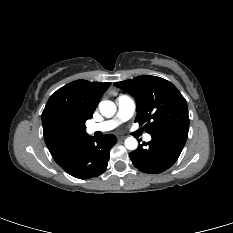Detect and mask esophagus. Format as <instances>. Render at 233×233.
I'll return each instance as SVG.
<instances>
[{
	"label": "esophagus",
	"instance_id": "1",
	"mask_svg": "<svg viewBox=\"0 0 233 233\" xmlns=\"http://www.w3.org/2000/svg\"><path fill=\"white\" fill-rule=\"evenodd\" d=\"M125 139V137H118V140L119 141H122V140H124Z\"/></svg>",
	"mask_w": 233,
	"mask_h": 233
}]
</instances>
